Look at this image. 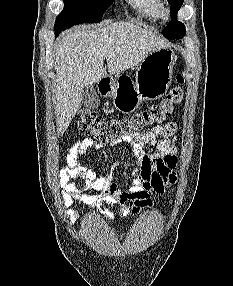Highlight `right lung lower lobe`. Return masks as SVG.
Here are the masks:
<instances>
[{"label": "right lung lower lobe", "instance_id": "98d812e1", "mask_svg": "<svg viewBox=\"0 0 233 286\" xmlns=\"http://www.w3.org/2000/svg\"><path fill=\"white\" fill-rule=\"evenodd\" d=\"M66 29H68V27H65V26L59 27V28H54V30H55V35L58 36V34H59L61 31L66 30Z\"/></svg>", "mask_w": 233, "mask_h": 286}]
</instances>
